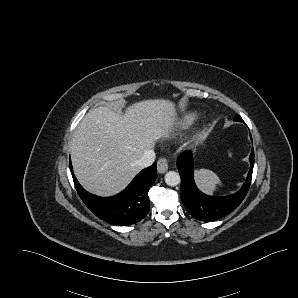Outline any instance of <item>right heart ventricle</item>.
Returning a JSON list of instances; mask_svg holds the SVG:
<instances>
[{"label":"right heart ventricle","mask_w":298,"mask_h":298,"mask_svg":"<svg viewBox=\"0 0 298 298\" xmlns=\"http://www.w3.org/2000/svg\"><path fill=\"white\" fill-rule=\"evenodd\" d=\"M179 117H180V126L178 131H181L195 125L200 119V114L196 111H184L179 113Z\"/></svg>","instance_id":"right-heart-ventricle-1"}]
</instances>
